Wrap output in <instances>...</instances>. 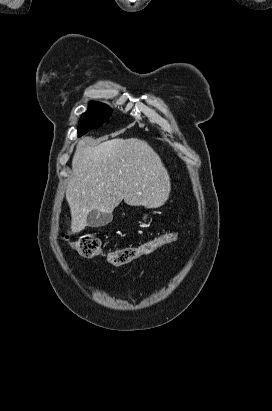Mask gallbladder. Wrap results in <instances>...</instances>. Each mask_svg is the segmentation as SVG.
<instances>
[{"mask_svg":"<svg viewBox=\"0 0 272 411\" xmlns=\"http://www.w3.org/2000/svg\"><path fill=\"white\" fill-rule=\"evenodd\" d=\"M111 221L110 214H103L97 210H92L87 216V225L89 227H101L107 225Z\"/></svg>","mask_w":272,"mask_h":411,"instance_id":"bac80fb5","label":"gallbladder"}]
</instances>
